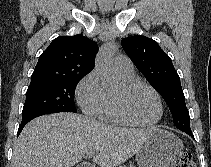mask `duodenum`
<instances>
[{"instance_id":"1","label":"duodenum","mask_w":211,"mask_h":167,"mask_svg":"<svg viewBox=\"0 0 211 167\" xmlns=\"http://www.w3.org/2000/svg\"><path fill=\"white\" fill-rule=\"evenodd\" d=\"M77 167H90V166L87 165V164H82V165H79V166H77Z\"/></svg>"}]
</instances>
